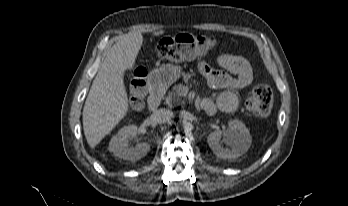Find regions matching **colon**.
Masks as SVG:
<instances>
[{
    "label": "colon",
    "mask_w": 348,
    "mask_h": 206,
    "mask_svg": "<svg viewBox=\"0 0 348 206\" xmlns=\"http://www.w3.org/2000/svg\"><path fill=\"white\" fill-rule=\"evenodd\" d=\"M198 37L189 34H176L162 39L157 47L158 55L165 60L181 61L192 55V48ZM147 72L143 68L134 71L130 90L132 105L139 106L145 94V79ZM247 109L256 117L270 113L273 107V93L266 85H258L252 89L246 99Z\"/></svg>",
    "instance_id": "colon-1"
}]
</instances>
